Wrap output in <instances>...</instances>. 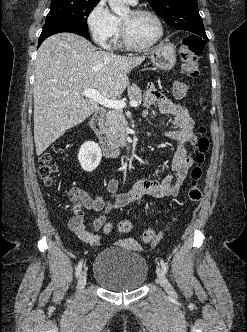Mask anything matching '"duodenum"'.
I'll return each instance as SVG.
<instances>
[{"instance_id": "410a0bca", "label": "duodenum", "mask_w": 247, "mask_h": 332, "mask_svg": "<svg viewBox=\"0 0 247 332\" xmlns=\"http://www.w3.org/2000/svg\"><path fill=\"white\" fill-rule=\"evenodd\" d=\"M104 110L98 109L92 116L90 127L99 140L103 154L107 158H114L120 154V149L116 147L109 139L104 127Z\"/></svg>"}]
</instances>
